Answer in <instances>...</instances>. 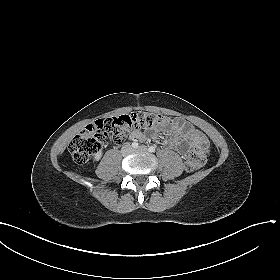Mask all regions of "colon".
Instances as JSON below:
<instances>
[{
  "label": "colon",
  "mask_w": 280,
  "mask_h": 280,
  "mask_svg": "<svg viewBox=\"0 0 280 280\" xmlns=\"http://www.w3.org/2000/svg\"><path fill=\"white\" fill-rule=\"evenodd\" d=\"M169 120L170 118L159 113L146 111H136L130 115L97 120L72 140L69 151L76 163L85 164L105 144L121 143L131 128L150 129ZM207 157V145L194 144L185 161L186 170L200 169L206 163Z\"/></svg>",
  "instance_id": "1"
}]
</instances>
